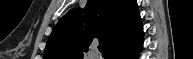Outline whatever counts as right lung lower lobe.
I'll list each match as a JSON object with an SVG mask.
<instances>
[{"label":"right lung lower lobe","mask_w":193,"mask_h":59,"mask_svg":"<svg viewBox=\"0 0 193 59\" xmlns=\"http://www.w3.org/2000/svg\"><path fill=\"white\" fill-rule=\"evenodd\" d=\"M143 32L115 48L105 56V59H138L142 49Z\"/></svg>","instance_id":"1"}]
</instances>
